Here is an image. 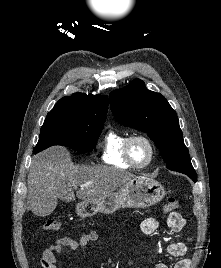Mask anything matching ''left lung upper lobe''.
<instances>
[{"label": "left lung upper lobe", "mask_w": 221, "mask_h": 268, "mask_svg": "<svg viewBox=\"0 0 221 268\" xmlns=\"http://www.w3.org/2000/svg\"><path fill=\"white\" fill-rule=\"evenodd\" d=\"M109 99L115 119L147 133L168 169L181 173L194 170L176 112L164 96L148 90L143 81L135 79L123 89L112 91Z\"/></svg>", "instance_id": "1"}]
</instances>
